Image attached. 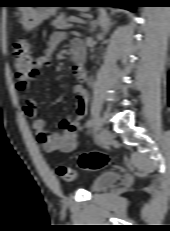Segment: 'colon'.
Listing matches in <instances>:
<instances>
[{
  "label": "colon",
  "instance_id": "colon-1",
  "mask_svg": "<svg viewBox=\"0 0 170 231\" xmlns=\"http://www.w3.org/2000/svg\"><path fill=\"white\" fill-rule=\"evenodd\" d=\"M13 66L19 82L30 81L37 75L36 61L32 57L30 44L25 38L19 39L14 44ZM109 162V156L101 152L83 153L77 158V165L80 168L94 171L103 169ZM57 174L67 182L75 178L74 170L67 166H59Z\"/></svg>",
  "mask_w": 170,
  "mask_h": 231
}]
</instances>
